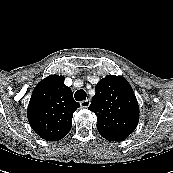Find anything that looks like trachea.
Here are the masks:
<instances>
[{
  "instance_id": "obj_1",
  "label": "trachea",
  "mask_w": 173,
  "mask_h": 173,
  "mask_svg": "<svg viewBox=\"0 0 173 173\" xmlns=\"http://www.w3.org/2000/svg\"><path fill=\"white\" fill-rule=\"evenodd\" d=\"M76 101L86 100L87 94L83 89L77 90L74 94Z\"/></svg>"
}]
</instances>
